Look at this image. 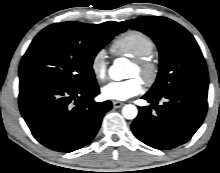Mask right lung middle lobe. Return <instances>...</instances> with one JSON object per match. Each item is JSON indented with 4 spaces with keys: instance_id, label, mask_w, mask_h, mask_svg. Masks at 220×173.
<instances>
[{
    "instance_id": "dd1d6c3e",
    "label": "right lung middle lobe",
    "mask_w": 220,
    "mask_h": 173,
    "mask_svg": "<svg viewBox=\"0 0 220 173\" xmlns=\"http://www.w3.org/2000/svg\"><path fill=\"white\" fill-rule=\"evenodd\" d=\"M117 34L112 28L79 22L52 24L34 38L23 56L20 80L46 79L72 88L94 85V57Z\"/></svg>"
}]
</instances>
